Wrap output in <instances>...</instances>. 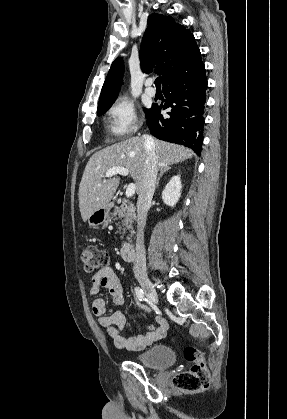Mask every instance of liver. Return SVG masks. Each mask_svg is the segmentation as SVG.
Returning a JSON list of instances; mask_svg holds the SVG:
<instances>
[{"label":"liver","mask_w":287,"mask_h":419,"mask_svg":"<svg viewBox=\"0 0 287 419\" xmlns=\"http://www.w3.org/2000/svg\"><path fill=\"white\" fill-rule=\"evenodd\" d=\"M158 167L168 166L192 158L193 151L180 145L154 140ZM146 148L141 137H132L94 153L86 167L79 186V208L83 221L100 208L110 204L120 178L103 179L114 167L126 168L139 192L143 180Z\"/></svg>","instance_id":"liver-1"}]
</instances>
